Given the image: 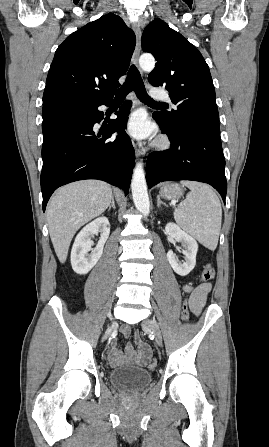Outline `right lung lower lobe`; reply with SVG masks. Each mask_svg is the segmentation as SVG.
Masks as SVG:
<instances>
[{
  "label": "right lung lower lobe",
  "instance_id": "98d812e1",
  "mask_svg": "<svg viewBox=\"0 0 269 447\" xmlns=\"http://www.w3.org/2000/svg\"><path fill=\"white\" fill-rule=\"evenodd\" d=\"M112 98L113 94L43 105V211L58 187L77 180H103L128 194L135 153L124 129L131 104L124 103L105 129H93L104 117L98 107L109 106ZM116 131L115 140H107Z\"/></svg>",
  "mask_w": 269,
  "mask_h": 447
}]
</instances>
